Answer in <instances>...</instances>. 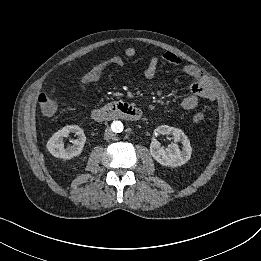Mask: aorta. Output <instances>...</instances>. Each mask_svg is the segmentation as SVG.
Here are the masks:
<instances>
[{
    "label": "aorta",
    "mask_w": 261,
    "mask_h": 261,
    "mask_svg": "<svg viewBox=\"0 0 261 261\" xmlns=\"http://www.w3.org/2000/svg\"><path fill=\"white\" fill-rule=\"evenodd\" d=\"M111 129L115 133H121L124 129V125L121 121H113V123L111 124Z\"/></svg>",
    "instance_id": "1"
}]
</instances>
